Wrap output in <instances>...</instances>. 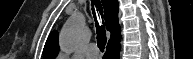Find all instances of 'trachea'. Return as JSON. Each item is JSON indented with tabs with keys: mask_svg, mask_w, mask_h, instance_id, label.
<instances>
[{
	"mask_svg": "<svg viewBox=\"0 0 193 59\" xmlns=\"http://www.w3.org/2000/svg\"><path fill=\"white\" fill-rule=\"evenodd\" d=\"M95 5H96L98 18H99V22H98L95 9L93 8V15L96 22L97 45L100 51L104 52L107 38H106L105 26L103 22V9L99 2L95 3Z\"/></svg>",
	"mask_w": 193,
	"mask_h": 59,
	"instance_id": "1",
	"label": "trachea"
}]
</instances>
